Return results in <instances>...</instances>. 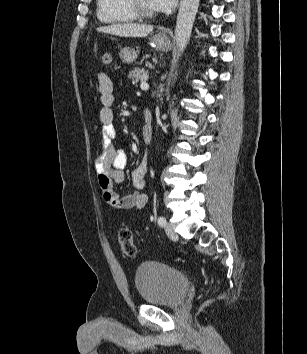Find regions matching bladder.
<instances>
[{
    "mask_svg": "<svg viewBox=\"0 0 307 354\" xmlns=\"http://www.w3.org/2000/svg\"><path fill=\"white\" fill-rule=\"evenodd\" d=\"M134 281L142 300L151 305H178L190 286L189 278L182 271L157 261L141 263Z\"/></svg>",
    "mask_w": 307,
    "mask_h": 354,
    "instance_id": "31cf9c89",
    "label": "bladder"
}]
</instances>
